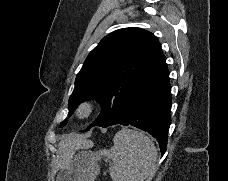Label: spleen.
<instances>
[{"label":"spleen","instance_id":"1","mask_svg":"<svg viewBox=\"0 0 228 181\" xmlns=\"http://www.w3.org/2000/svg\"><path fill=\"white\" fill-rule=\"evenodd\" d=\"M114 145L107 151H99L94 159H111L109 173L112 181H146L156 173L157 149L144 133L123 127L116 133Z\"/></svg>","mask_w":228,"mask_h":181}]
</instances>
